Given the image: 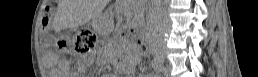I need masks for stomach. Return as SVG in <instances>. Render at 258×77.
<instances>
[{"mask_svg": "<svg viewBox=\"0 0 258 77\" xmlns=\"http://www.w3.org/2000/svg\"><path fill=\"white\" fill-rule=\"evenodd\" d=\"M93 22H94L95 27H97V28L100 27L101 22L98 18H94Z\"/></svg>", "mask_w": 258, "mask_h": 77, "instance_id": "obj_1", "label": "stomach"}]
</instances>
